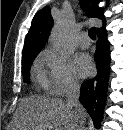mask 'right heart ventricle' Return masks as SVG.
I'll use <instances>...</instances> for the list:
<instances>
[{"instance_id":"right-heart-ventricle-1","label":"right heart ventricle","mask_w":123,"mask_h":130,"mask_svg":"<svg viewBox=\"0 0 123 130\" xmlns=\"http://www.w3.org/2000/svg\"><path fill=\"white\" fill-rule=\"evenodd\" d=\"M36 71H37L38 79L40 80V82H41L42 84H44V81H43V79H42V77H41V75H40L39 69H38V63H37V65H36ZM44 85H45V84H44Z\"/></svg>"}]
</instances>
